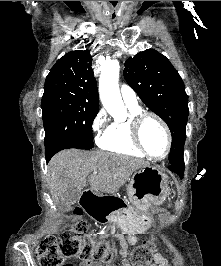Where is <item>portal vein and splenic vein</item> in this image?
I'll return each mask as SVG.
<instances>
[{"mask_svg": "<svg viewBox=\"0 0 221 266\" xmlns=\"http://www.w3.org/2000/svg\"><path fill=\"white\" fill-rule=\"evenodd\" d=\"M93 173H95V174H96V173H97V170H94V171H93Z\"/></svg>", "mask_w": 221, "mask_h": 266, "instance_id": "1", "label": "portal vein and splenic vein"}]
</instances>
